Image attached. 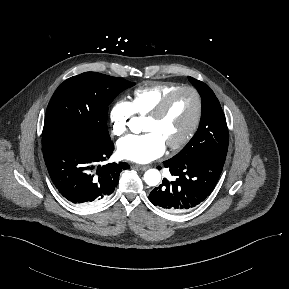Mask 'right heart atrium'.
I'll return each instance as SVG.
<instances>
[{"label": "right heart atrium", "mask_w": 289, "mask_h": 289, "mask_svg": "<svg viewBox=\"0 0 289 289\" xmlns=\"http://www.w3.org/2000/svg\"><path fill=\"white\" fill-rule=\"evenodd\" d=\"M133 108L125 99L117 100L110 108L109 121L112 133L115 136H122L129 128V121L133 116Z\"/></svg>", "instance_id": "obj_1"}]
</instances>
